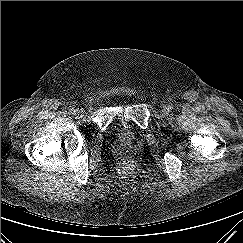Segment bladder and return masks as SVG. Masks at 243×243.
<instances>
[{
  "label": "bladder",
  "mask_w": 243,
  "mask_h": 243,
  "mask_svg": "<svg viewBox=\"0 0 243 243\" xmlns=\"http://www.w3.org/2000/svg\"><path fill=\"white\" fill-rule=\"evenodd\" d=\"M115 127L117 128L118 133L122 138L126 140H132L135 138V133L121 121L115 122Z\"/></svg>",
  "instance_id": "bladder-1"
}]
</instances>
